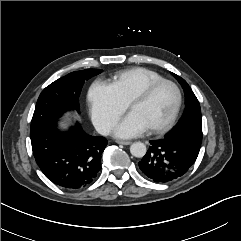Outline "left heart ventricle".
Returning a JSON list of instances; mask_svg holds the SVG:
<instances>
[{"label": "left heart ventricle", "instance_id": "1", "mask_svg": "<svg viewBox=\"0 0 241 241\" xmlns=\"http://www.w3.org/2000/svg\"><path fill=\"white\" fill-rule=\"evenodd\" d=\"M177 95L170 85H163L143 102L133 105L131 111L143 119L149 128L165 124L173 114L176 106Z\"/></svg>", "mask_w": 241, "mask_h": 241}]
</instances>
